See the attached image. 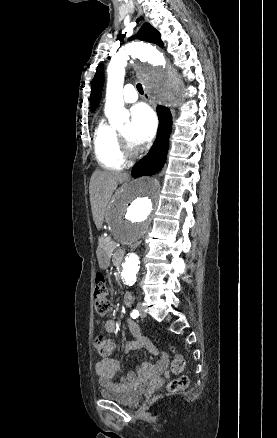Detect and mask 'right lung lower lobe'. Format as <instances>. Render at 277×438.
<instances>
[{
	"instance_id": "right-lung-lower-lobe-1",
	"label": "right lung lower lobe",
	"mask_w": 277,
	"mask_h": 438,
	"mask_svg": "<svg viewBox=\"0 0 277 438\" xmlns=\"http://www.w3.org/2000/svg\"><path fill=\"white\" fill-rule=\"evenodd\" d=\"M157 113L160 124L156 140L149 153L133 167L132 175L135 178L159 172L166 161L172 129V115L170 110L163 106L157 107Z\"/></svg>"
}]
</instances>
